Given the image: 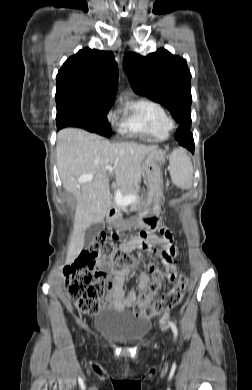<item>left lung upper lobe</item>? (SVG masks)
Returning a JSON list of instances; mask_svg holds the SVG:
<instances>
[{
	"label": "left lung upper lobe",
	"mask_w": 252,
	"mask_h": 390,
	"mask_svg": "<svg viewBox=\"0 0 252 390\" xmlns=\"http://www.w3.org/2000/svg\"><path fill=\"white\" fill-rule=\"evenodd\" d=\"M123 67L137 94L164 105L180 126H191V73L185 59L161 48L147 56L130 52Z\"/></svg>",
	"instance_id": "left-lung-upper-lobe-1"
}]
</instances>
